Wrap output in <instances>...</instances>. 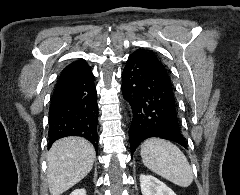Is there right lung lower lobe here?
I'll return each mask as SVG.
<instances>
[{
    "label": "right lung lower lobe",
    "mask_w": 240,
    "mask_h": 195,
    "mask_svg": "<svg viewBox=\"0 0 240 195\" xmlns=\"http://www.w3.org/2000/svg\"><path fill=\"white\" fill-rule=\"evenodd\" d=\"M98 105L91 69L77 77L59 78L49 108V144L67 136L89 140L97 151Z\"/></svg>",
    "instance_id": "1"
}]
</instances>
